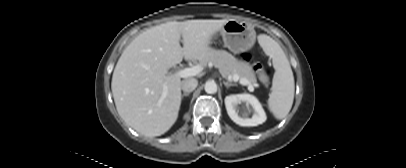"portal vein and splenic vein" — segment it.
Returning a JSON list of instances; mask_svg holds the SVG:
<instances>
[{
	"mask_svg": "<svg viewBox=\"0 0 406 168\" xmlns=\"http://www.w3.org/2000/svg\"><path fill=\"white\" fill-rule=\"evenodd\" d=\"M201 71H202V66L201 65H196V66H193V67H190V68H185V69L179 70L176 73V75L178 77H180V78H187V77H191V76H196ZM231 79L233 81H235V82L239 81V83L242 84V85H248L249 84V82L246 79H240V77L238 75H236V74L233 75V77H231ZM254 86H256V84H254V85L249 84L248 85L249 91H251V92L254 91ZM163 89H164V91H163L162 96L165 97L167 95L168 88H167L166 85H164Z\"/></svg>",
	"mask_w": 406,
	"mask_h": 168,
	"instance_id": "portal-vein-and-splenic-vein-1",
	"label": "portal vein and splenic vein"
}]
</instances>
